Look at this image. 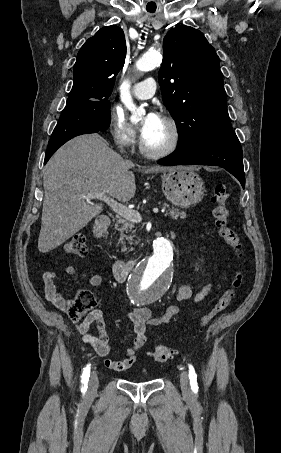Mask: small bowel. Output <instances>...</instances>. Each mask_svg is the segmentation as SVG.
<instances>
[{
	"label": "small bowel",
	"mask_w": 281,
	"mask_h": 453,
	"mask_svg": "<svg viewBox=\"0 0 281 453\" xmlns=\"http://www.w3.org/2000/svg\"><path fill=\"white\" fill-rule=\"evenodd\" d=\"M55 277V272L51 270L45 271L42 275V288L45 298L51 301L61 311H67L70 307L69 300L58 291L54 281ZM88 279L91 286H100L102 284V277L99 273H91ZM205 294L206 291L193 294L188 286H182L176 297V302H198L204 298ZM177 311L178 307L174 305L167 308L160 315L152 317L150 312L143 307L130 310L128 316L133 324L134 331L132 346L126 350L122 359H107V368L110 371L129 369L137 359L136 352L146 343V328L165 325L174 315H176ZM94 321L98 326V335L86 332L88 326ZM77 329L80 332H83L84 340L89 346L96 350L97 356L106 359L110 353L111 345L109 335L105 329L104 312L100 309H94L91 315L86 318L85 322L77 326Z\"/></svg>",
	"instance_id": "small-bowel-1"
}]
</instances>
